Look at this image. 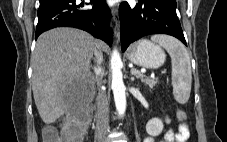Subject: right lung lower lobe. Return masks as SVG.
Listing matches in <instances>:
<instances>
[{
  "instance_id": "98d812e1",
  "label": "right lung lower lobe",
  "mask_w": 227,
  "mask_h": 142,
  "mask_svg": "<svg viewBox=\"0 0 227 142\" xmlns=\"http://www.w3.org/2000/svg\"><path fill=\"white\" fill-rule=\"evenodd\" d=\"M92 9H83L84 2L76 0H45L40 2L36 38L44 31L69 26L85 30L110 46L113 31L109 26L110 9L105 0H90Z\"/></svg>"
}]
</instances>
